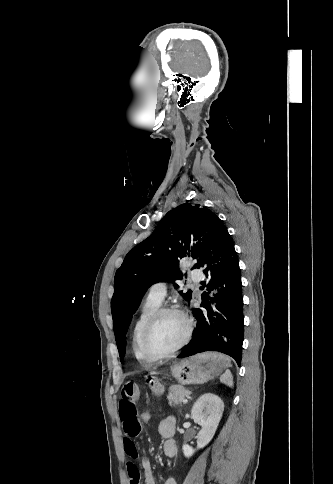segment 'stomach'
I'll return each instance as SVG.
<instances>
[{"mask_svg":"<svg viewBox=\"0 0 333 484\" xmlns=\"http://www.w3.org/2000/svg\"><path fill=\"white\" fill-rule=\"evenodd\" d=\"M229 365L227 356L217 352H204L175 362L170 367V372L181 386L202 384L219 376ZM158 374L149 372L147 384L155 394L160 395L163 386L157 378Z\"/></svg>","mask_w":333,"mask_h":484,"instance_id":"1","label":"stomach"}]
</instances>
